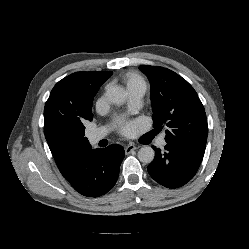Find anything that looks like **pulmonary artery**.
Returning <instances> with one entry per match:
<instances>
[{
	"label": "pulmonary artery",
	"mask_w": 249,
	"mask_h": 249,
	"mask_svg": "<svg viewBox=\"0 0 249 249\" xmlns=\"http://www.w3.org/2000/svg\"><path fill=\"white\" fill-rule=\"evenodd\" d=\"M143 90H131L129 91V106L132 110H137L141 104V99L144 95ZM108 134V129L106 127H100L91 131L88 134V140L91 144H95L105 138ZM157 144L160 147H164L166 145L165 134H161L157 139Z\"/></svg>",
	"instance_id": "1"
}]
</instances>
